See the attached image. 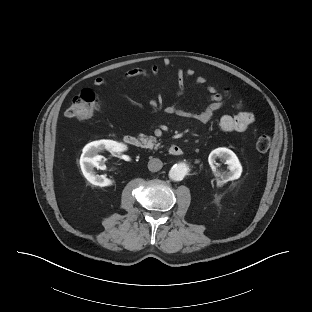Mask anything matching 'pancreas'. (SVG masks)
I'll return each mask as SVG.
<instances>
[{"instance_id": "pancreas-1", "label": "pancreas", "mask_w": 312, "mask_h": 312, "mask_svg": "<svg viewBox=\"0 0 312 312\" xmlns=\"http://www.w3.org/2000/svg\"><path fill=\"white\" fill-rule=\"evenodd\" d=\"M140 140L142 141V143L144 144V147H146V148H153L154 147V149H158V147L160 146V143H157V140L155 137L148 138L144 134H140ZM155 143H157V144H155Z\"/></svg>"}]
</instances>
